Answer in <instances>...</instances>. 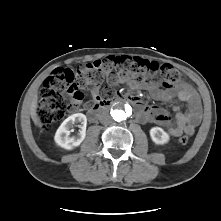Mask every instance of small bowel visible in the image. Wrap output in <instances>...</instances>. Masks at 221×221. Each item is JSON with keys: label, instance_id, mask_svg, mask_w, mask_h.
<instances>
[{"label": "small bowel", "instance_id": "1", "mask_svg": "<svg viewBox=\"0 0 221 221\" xmlns=\"http://www.w3.org/2000/svg\"><path fill=\"white\" fill-rule=\"evenodd\" d=\"M107 82L109 85L125 83L130 88L145 87L154 99L172 104V110L175 113L173 121L165 109L148 106L142 102V105L138 107L137 114V119L140 122H153L162 125L166 127L170 135L175 137L182 134L192 135L200 123L202 116L201 101L196 91L187 82H182L174 88H162L154 82L145 84L135 82L121 70L116 72L108 70ZM92 99L93 102L100 100L97 87L92 90ZM180 103H187V112L181 111Z\"/></svg>", "mask_w": 221, "mask_h": 221}]
</instances>
